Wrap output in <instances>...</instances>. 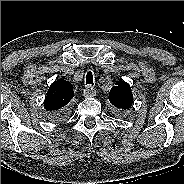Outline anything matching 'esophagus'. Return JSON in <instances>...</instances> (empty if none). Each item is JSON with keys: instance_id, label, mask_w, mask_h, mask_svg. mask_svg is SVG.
<instances>
[{"instance_id": "34e87169", "label": "esophagus", "mask_w": 184, "mask_h": 184, "mask_svg": "<svg viewBox=\"0 0 184 184\" xmlns=\"http://www.w3.org/2000/svg\"><path fill=\"white\" fill-rule=\"evenodd\" d=\"M83 95H84L85 97H94V96L96 95V91H95V89H94L92 86L88 85V86L84 89Z\"/></svg>"}]
</instances>
